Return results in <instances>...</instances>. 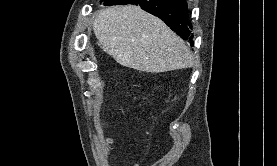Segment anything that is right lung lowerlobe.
Wrapping results in <instances>:
<instances>
[{"instance_id":"obj_1","label":"right lung lower lobe","mask_w":277,"mask_h":166,"mask_svg":"<svg viewBox=\"0 0 277 166\" xmlns=\"http://www.w3.org/2000/svg\"><path fill=\"white\" fill-rule=\"evenodd\" d=\"M135 4L141 6L145 11L159 17L182 39L193 44L191 24L188 20L187 3L185 0H117L108 4L125 5Z\"/></svg>"}]
</instances>
